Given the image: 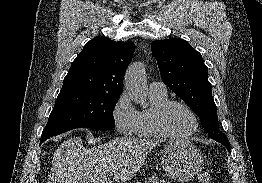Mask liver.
<instances>
[{"mask_svg":"<svg viewBox=\"0 0 262 183\" xmlns=\"http://www.w3.org/2000/svg\"><path fill=\"white\" fill-rule=\"evenodd\" d=\"M162 141L117 137L104 145L86 149L80 137L65 140L55 151L48 183H124L140 170L146 155Z\"/></svg>","mask_w":262,"mask_h":183,"instance_id":"liver-1","label":"liver"}]
</instances>
